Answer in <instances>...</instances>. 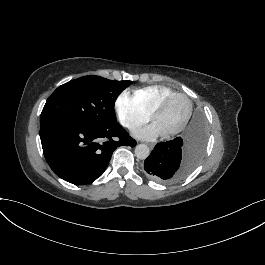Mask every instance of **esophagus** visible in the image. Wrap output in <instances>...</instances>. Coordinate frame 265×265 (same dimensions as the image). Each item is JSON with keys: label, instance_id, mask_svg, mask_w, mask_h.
<instances>
[{"label": "esophagus", "instance_id": "34e87169", "mask_svg": "<svg viewBox=\"0 0 265 265\" xmlns=\"http://www.w3.org/2000/svg\"><path fill=\"white\" fill-rule=\"evenodd\" d=\"M149 147H150V149H153L154 148V144L153 143H150L149 144Z\"/></svg>", "mask_w": 265, "mask_h": 265}]
</instances>
